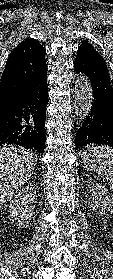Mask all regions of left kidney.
<instances>
[{"label": "left kidney", "mask_w": 113, "mask_h": 279, "mask_svg": "<svg viewBox=\"0 0 113 279\" xmlns=\"http://www.w3.org/2000/svg\"><path fill=\"white\" fill-rule=\"evenodd\" d=\"M89 190L92 198L90 207H92L98 215H106L105 211L113 213V195H111L108 190L96 183H91Z\"/></svg>", "instance_id": "left-kidney-1"}]
</instances>
